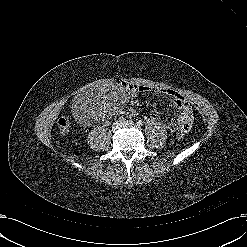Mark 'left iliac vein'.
<instances>
[{
	"mask_svg": "<svg viewBox=\"0 0 247 247\" xmlns=\"http://www.w3.org/2000/svg\"><path fill=\"white\" fill-rule=\"evenodd\" d=\"M123 126H128V125H133V122L132 121H126L124 123H122Z\"/></svg>",
	"mask_w": 247,
	"mask_h": 247,
	"instance_id": "1",
	"label": "left iliac vein"
}]
</instances>
